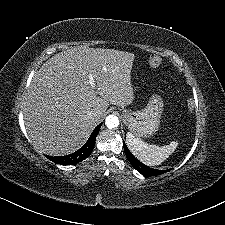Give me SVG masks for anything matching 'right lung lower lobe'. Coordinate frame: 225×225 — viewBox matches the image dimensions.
Listing matches in <instances>:
<instances>
[{
	"mask_svg": "<svg viewBox=\"0 0 225 225\" xmlns=\"http://www.w3.org/2000/svg\"><path fill=\"white\" fill-rule=\"evenodd\" d=\"M102 123L99 124L94 131L92 132L91 136L89 137L88 141L76 152L66 155V156H59V157H51L47 156V158L57 164L61 165H73L77 164L84 159H86L93 151L96 136L99 133L100 127Z\"/></svg>",
	"mask_w": 225,
	"mask_h": 225,
	"instance_id": "1",
	"label": "right lung lower lobe"
}]
</instances>
